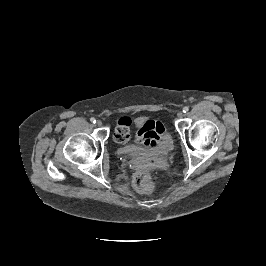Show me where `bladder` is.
I'll return each instance as SVG.
<instances>
[{
  "label": "bladder",
  "instance_id": "31cf9c89",
  "mask_svg": "<svg viewBox=\"0 0 266 266\" xmlns=\"http://www.w3.org/2000/svg\"><path fill=\"white\" fill-rule=\"evenodd\" d=\"M173 145L174 143L172 136L169 133H165L158 143V146L155 148L154 153L167 154L173 149ZM147 152H149V150L133 144L127 145L124 149L125 155L129 157H140Z\"/></svg>",
  "mask_w": 266,
  "mask_h": 266
}]
</instances>
